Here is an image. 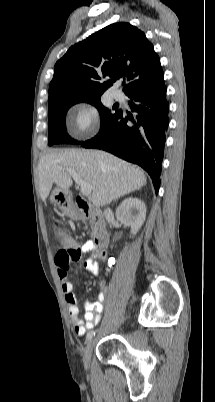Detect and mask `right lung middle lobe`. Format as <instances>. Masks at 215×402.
I'll return each mask as SVG.
<instances>
[{"label":"right lung middle lobe","instance_id":"right-lung-middle-lobe-1","mask_svg":"<svg viewBox=\"0 0 215 402\" xmlns=\"http://www.w3.org/2000/svg\"><path fill=\"white\" fill-rule=\"evenodd\" d=\"M101 95L87 98L61 97L48 103V144L73 143L80 144L73 140L66 132L65 115L68 109L79 102H87L97 108L101 117L100 130L105 127L117 114L112 113L101 103Z\"/></svg>","mask_w":215,"mask_h":402}]
</instances>
